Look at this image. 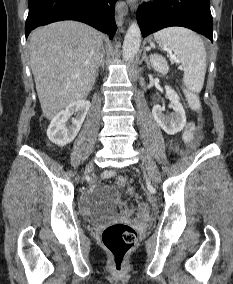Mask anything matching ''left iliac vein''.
I'll return each instance as SVG.
<instances>
[{"mask_svg":"<svg viewBox=\"0 0 233 284\" xmlns=\"http://www.w3.org/2000/svg\"><path fill=\"white\" fill-rule=\"evenodd\" d=\"M139 154L142 164L145 166L150 180L154 183L159 182L160 173L155 161L145 150H140Z\"/></svg>","mask_w":233,"mask_h":284,"instance_id":"4c4485c4","label":"left iliac vein"}]
</instances>
